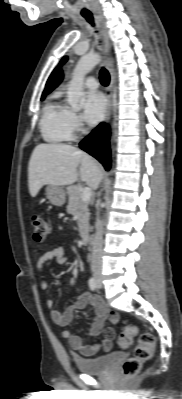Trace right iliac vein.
Returning <instances> with one entry per match:
<instances>
[{
  "instance_id": "obj_1",
  "label": "right iliac vein",
  "mask_w": 182,
  "mask_h": 399,
  "mask_svg": "<svg viewBox=\"0 0 182 399\" xmlns=\"http://www.w3.org/2000/svg\"><path fill=\"white\" fill-rule=\"evenodd\" d=\"M100 280H101V279H100V277H99V276H97V281H99V282H100Z\"/></svg>"
}]
</instances>
